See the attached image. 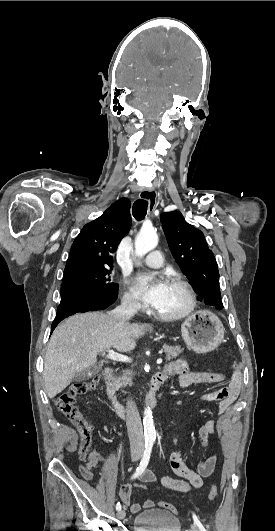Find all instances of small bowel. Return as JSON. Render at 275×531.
I'll list each match as a JSON object with an SVG mask.
<instances>
[{"label": "small bowel", "mask_w": 275, "mask_h": 531, "mask_svg": "<svg viewBox=\"0 0 275 531\" xmlns=\"http://www.w3.org/2000/svg\"><path fill=\"white\" fill-rule=\"evenodd\" d=\"M165 373L167 376H176L178 385L182 388H187L195 384H219L224 382L225 376L219 372L209 371H191L187 362L181 359H177L168 363L165 367ZM242 385V374L239 371L232 373L229 384L226 388L227 396L223 399L218 398L217 393H205L201 396V399L206 402L221 400L218 406V413L224 414L231 405L236 401L240 388ZM215 431V421L207 420L200 427L198 431V437L202 450L201 458L198 461L196 468L189 467L186 463L185 454L182 450H174L169 458L168 464L170 468L180 477L185 480L164 476L160 482L163 487L168 490L176 492L187 493L192 489L202 487L203 479L212 475L217 464V455L209 452V440ZM81 448V447H80ZM88 459H98L100 462L101 455L97 451H92ZM85 477H94V475H82ZM138 479H141L145 484L154 483L156 481V475L149 469H142L139 471ZM133 493V487L127 485L123 487L120 492L121 502L129 507L132 514H138L142 508L152 509L154 502L152 500H145L141 505L137 502H131V496Z\"/></svg>", "instance_id": "c3829d8e"}]
</instances>
